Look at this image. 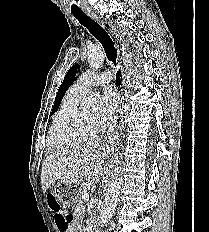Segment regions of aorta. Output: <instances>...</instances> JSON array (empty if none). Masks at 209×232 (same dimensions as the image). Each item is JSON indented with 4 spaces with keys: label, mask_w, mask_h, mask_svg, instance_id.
Listing matches in <instances>:
<instances>
[{
    "label": "aorta",
    "mask_w": 209,
    "mask_h": 232,
    "mask_svg": "<svg viewBox=\"0 0 209 232\" xmlns=\"http://www.w3.org/2000/svg\"><path fill=\"white\" fill-rule=\"evenodd\" d=\"M87 59L91 68L99 69L104 61V53L99 46L93 45L88 49ZM99 96V93L92 92L86 99H84L82 105L87 108L96 109L98 106ZM123 170V154L119 152L115 156L110 181L104 195L105 205L99 218L101 227L108 223L117 206L118 196L123 183Z\"/></svg>",
    "instance_id": "obj_1"
}]
</instances>
